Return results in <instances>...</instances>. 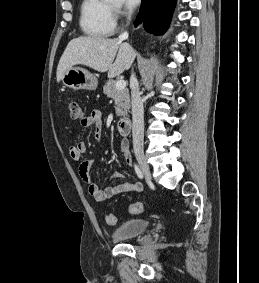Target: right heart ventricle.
I'll return each instance as SVG.
<instances>
[{"instance_id": "e07e8e85", "label": "right heart ventricle", "mask_w": 259, "mask_h": 283, "mask_svg": "<svg viewBox=\"0 0 259 283\" xmlns=\"http://www.w3.org/2000/svg\"><path fill=\"white\" fill-rule=\"evenodd\" d=\"M80 26L92 38H106L116 29L113 7L107 0H83L80 9Z\"/></svg>"}]
</instances>
